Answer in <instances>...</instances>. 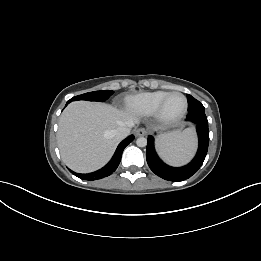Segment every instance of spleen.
<instances>
[{
  "label": "spleen",
  "mask_w": 261,
  "mask_h": 261,
  "mask_svg": "<svg viewBox=\"0 0 261 261\" xmlns=\"http://www.w3.org/2000/svg\"><path fill=\"white\" fill-rule=\"evenodd\" d=\"M161 157L171 165L186 163L192 156L196 139L192 128L163 135L157 143Z\"/></svg>",
  "instance_id": "spleen-1"
}]
</instances>
